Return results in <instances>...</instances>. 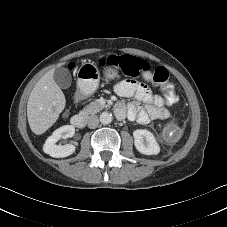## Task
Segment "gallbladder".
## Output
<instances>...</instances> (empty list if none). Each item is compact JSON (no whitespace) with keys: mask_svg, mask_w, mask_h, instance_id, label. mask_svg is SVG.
Instances as JSON below:
<instances>
[{"mask_svg":"<svg viewBox=\"0 0 227 227\" xmlns=\"http://www.w3.org/2000/svg\"><path fill=\"white\" fill-rule=\"evenodd\" d=\"M54 81L60 88L67 89L70 87L72 82L71 73L69 72L68 69L59 67L55 69Z\"/></svg>","mask_w":227,"mask_h":227,"instance_id":"1","label":"gallbladder"}]
</instances>
